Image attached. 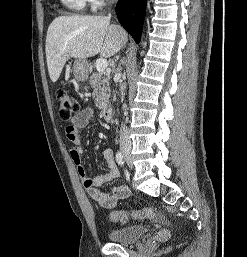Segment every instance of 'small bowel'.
<instances>
[{"label":"small bowel","instance_id":"obj_1","mask_svg":"<svg viewBox=\"0 0 247 257\" xmlns=\"http://www.w3.org/2000/svg\"><path fill=\"white\" fill-rule=\"evenodd\" d=\"M93 115L94 112L92 109H83L73 117L71 123L65 129V133L67 138L74 143V146L70 149V157L76 165L78 175L81 178L87 193L101 207L112 208L118 200L130 196V189L126 185H122L114 187L110 193H103L99 190L100 186L112 181L119 175L114 160V154L111 149L102 151V158L107 165L106 172L95 178H89L87 176L82 161L83 147L81 144L80 131L88 125ZM155 217L162 219L161 215H155Z\"/></svg>","mask_w":247,"mask_h":257}]
</instances>
